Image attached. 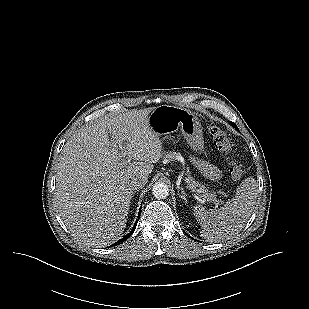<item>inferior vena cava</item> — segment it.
<instances>
[{
  "instance_id": "obj_1",
  "label": "inferior vena cava",
  "mask_w": 309,
  "mask_h": 309,
  "mask_svg": "<svg viewBox=\"0 0 309 309\" xmlns=\"http://www.w3.org/2000/svg\"><path fill=\"white\" fill-rule=\"evenodd\" d=\"M146 183H147V177L137 176L130 180L129 185L133 190H137L144 187Z\"/></svg>"
}]
</instances>
